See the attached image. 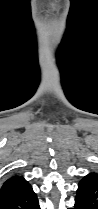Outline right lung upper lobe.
Instances as JSON below:
<instances>
[{"label": "right lung upper lobe", "mask_w": 98, "mask_h": 209, "mask_svg": "<svg viewBox=\"0 0 98 209\" xmlns=\"http://www.w3.org/2000/svg\"><path fill=\"white\" fill-rule=\"evenodd\" d=\"M29 186L30 184L23 176L13 175L8 178L0 187V207L11 201Z\"/></svg>", "instance_id": "1"}]
</instances>
